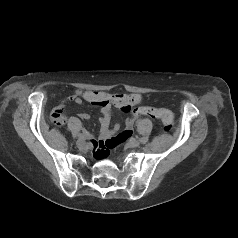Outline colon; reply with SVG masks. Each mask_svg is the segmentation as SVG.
<instances>
[{"label":"colon","mask_w":238,"mask_h":238,"mask_svg":"<svg viewBox=\"0 0 238 238\" xmlns=\"http://www.w3.org/2000/svg\"><path fill=\"white\" fill-rule=\"evenodd\" d=\"M135 117L148 116L151 118H160L164 124V130L170 131L172 129V115L170 112L161 107H138L133 110ZM60 112L55 111L53 117L56 120L59 118ZM129 136V131L122 132L118 135L100 140L94 145V155L98 159H103L108 156L110 151L120 145Z\"/></svg>","instance_id":"5ec220e1"}]
</instances>
